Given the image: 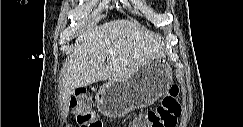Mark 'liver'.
Listing matches in <instances>:
<instances>
[{"label": "liver", "mask_w": 243, "mask_h": 127, "mask_svg": "<svg viewBox=\"0 0 243 127\" xmlns=\"http://www.w3.org/2000/svg\"><path fill=\"white\" fill-rule=\"evenodd\" d=\"M162 55L159 39L128 20H112L85 30L75 40L63 69L61 95L65 110L76 88L124 80L153 57Z\"/></svg>", "instance_id": "6515ba94"}]
</instances>
